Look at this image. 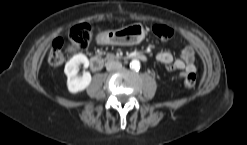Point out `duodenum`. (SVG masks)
<instances>
[{
  "instance_id": "1",
  "label": "duodenum",
  "mask_w": 247,
  "mask_h": 145,
  "mask_svg": "<svg viewBox=\"0 0 247 145\" xmlns=\"http://www.w3.org/2000/svg\"><path fill=\"white\" fill-rule=\"evenodd\" d=\"M126 59H137L140 61H146L147 58L144 54L142 53H132L129 56L125 57ZM103 66V62L100 58L98 57H93L90 59V68L93 71H99Z\"/></svg>"
}]
</instances>
